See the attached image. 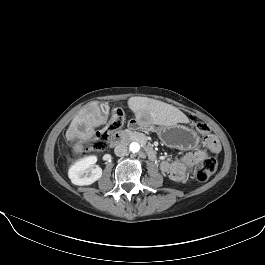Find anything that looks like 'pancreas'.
I'll return each instance as SVG.
<instances>
[{
  "mask_svg": "<svg viewBox=\"0 0 265 265\" xmlns=\"http://www.w3.org/2000/svg\"><path fill=\"white\" fill-rule=\"evenodd\" d=\"M132 137L140 140L142 142H145V136L143 134H139V133H131Z\"/></svg>",
  "mask_w": 265,
  "mask_h": 265,
  "instance_id": "cf45deb5",
  "label": "pancreas"
}]
</instances>
